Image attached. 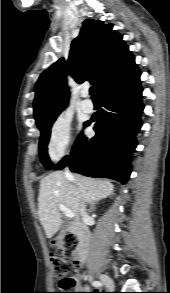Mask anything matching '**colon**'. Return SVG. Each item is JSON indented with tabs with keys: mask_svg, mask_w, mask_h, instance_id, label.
Here are the masks:
<instances>
[{
	"mask_svg": "<svg viewBox=\"0 0 170 293\" xmlns=\"http://www.w3.org/2000/svg\"><path fill=\"white\" fill-rule=\"evenodd\" d=\"M60 245V251L52 254L51 263L54 271V275L59 278L58 289L59 292L55 293H68L76 283L68 273L72 267L69 259L74 256L78 248V240L73 236H67L57 242Z\"/></svg>",
	"mask_w": 170,
	"mask_h": 293,
	"instance_id": "colon-1",
	"label": "colon"
}]
</instances>
